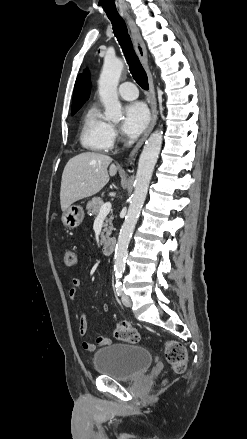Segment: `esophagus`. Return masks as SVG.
I'll return each mask as SVG.
<instances>
[{"label": "esophagus", "instance_id": "34e87169", "mask_svg": "<svg viewBox=\"0 0 247 439\" xmlns=\"http://www.w3.org/2000/svg\"><path fill=\"white\" fill-rule=\"evenodd\" d=\"M126 20H127V23L130 27V30H131V34H132V37L134 40L137 54L139 56V59L143 65V67L146 71L147 77H148L149 97H150L151 111H152L151 121H150V124H149L147 130L145 131V133L141 137V139L138 141V143L135 145V147L133 148V150L131 151V153L129 154V156L126 160V162L129 163L137 155L139 149L141 148V146L143 145V143L145 142V140L147 139V137L149 136V134L153 130V128L156 124L157 118H158V109H157V101H156V96H155V89H154L152 74H151V71H150L149 65H148V56H147V50H146L145 43L142 39L140 30L137 27V25L135 24L134 20L130 16H126Z\"/></svg>", "mask_w": 247, "mask_h": 439}]
</instances>
